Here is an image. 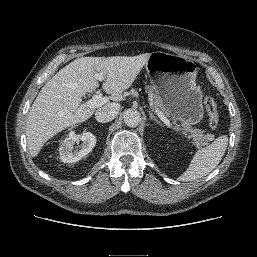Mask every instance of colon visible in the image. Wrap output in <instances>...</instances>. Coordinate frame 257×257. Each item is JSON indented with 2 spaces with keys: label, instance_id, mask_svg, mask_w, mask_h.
Returning <instances> with one entry per match:
<instances>
[{
  "label": "colon",
  "instance_id": "5ec220e1",
  "mask_svg": "<svg viewBox=\"0 0 257 257\" xmlns=\"http://www.w3.org/2000/svg\"><path fill=\"white\" fill-rule=\"evenodd\" d=\"M203 105L208 114L210 127H217L219 123V113L215 100L212 97L207 96L203 99Z\"/></svg>",
  "mask_w": 257,
  "mask_h": 257
}]
</instances>
